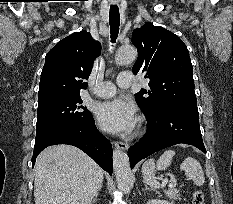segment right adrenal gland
Wrapping results in <instances>:
<instances>
[{"label":"right adrenal gland","mask_w":233,"mask_h":204,"mask_svg":"<svg viewBox=\"0 0 233 204\" xmlns=\"http://www.w3.org/2000/svg\"><path fill=\"white\" fill-rule=\"evenodd\" d=\"M98 193L95 195L94 199L92 200L91 204H94L97 201Z\"/></svg>","instance_id":"right-adrenal-gland-1"}]
</instances>
